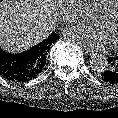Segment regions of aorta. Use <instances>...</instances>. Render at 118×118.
<instances>
[{
    "label": "aorta",
    "instance_id": "1",
    "mask_svg": "<svg viewBox=\"0 0 118 118\" xmlns=\"http://www.w3.org/2000/svg\"><path fill=\"white\" fill-rule=\"evenodd\" d=\"M94 4L93 2H85L81 4L79 14L82 18H91L94 15ZM108 61L105 56L101 54H95L90 60V66L94 71H103L106 69Z\"/></svg>",
    "mask_w": 118,
    "mask_h": 118
}]
</instances>
